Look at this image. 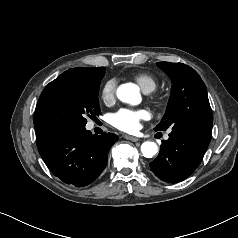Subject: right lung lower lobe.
Here are the masks:
<instances>
[{
    "instance_id": "obj_1",
    "label": "right lung lower lobe",
    "mask_w": 238,
    "mask_h": 238,
    "mask_svg": "<svg viewBox=\"0 0 238 238\" xmlns=\"http://www.w3.org/2000/svg\"><path fill=\"white\" fill-rule=\"evenodd\" d=\"M118 140L112 133L92 135L85 126L61 125L36 133L38 151L50 171L66 184L83 187L104 170Z\"/></svg>"
}]
</instances>
